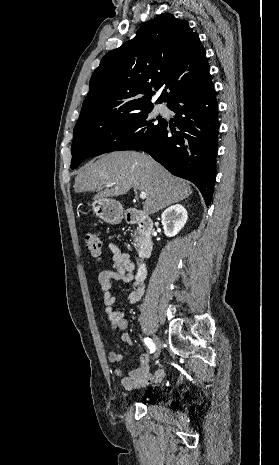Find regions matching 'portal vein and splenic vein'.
<instances>
[{"instance_id":"18ae733b","label":"portal vein and splenic vein","mask_w":279,"mask_h":465,"mask_svg":"<svg viewBox=\"0 0 279 465\" xmlns=\"http://www.w3.org/2000/svg\"><path fill=\"white\" fill-rule=\"evenodd\" d=\"M112 185H113L112 183L107 184L108 187H111ZM139 196H140V199L144 200L146 199L147 195L145 192H141Z\"/></svg>"}]
</instances>
